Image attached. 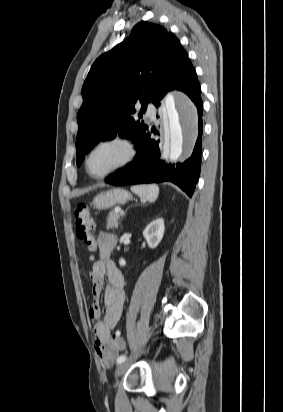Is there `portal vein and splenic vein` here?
Instances as JSON below:
<instances>
[{"label":"portal vein and splenic vein","mask_w":283,"mask_h":412,"mask_svg":"<svg viewBox=\"0 0 283 412\" xmlns=\"http://www.w3.org/2000/svg\"><path fill=\"white\" fill-rule=\"evenodd\" d=\"M115 212H117V213L121 212V208L116 207V208H115Z\"/></svg>","instance_id":"portal-vein-and-splenic-vein-1"}]
</instances>
